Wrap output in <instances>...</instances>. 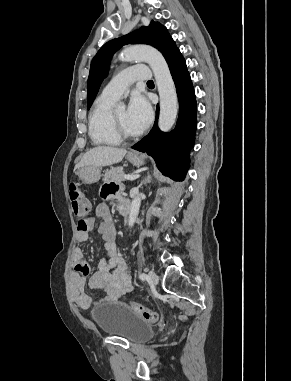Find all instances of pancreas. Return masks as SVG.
<instances>
[{
	"label": "pancreas",
	"mask_w": 291,
	"mask_h": 381,
	"mask_svg": "<svg viewBox=\"0 0 291 381\" xmlns=\"http://www.w3.org/2000/svg\"><path fill=\"white\" fill-rule=\"evenodd\" d=\"M123 175H124V172L122 167L112 168L111 170H108L105 173L103 181L104 182H110V181L121 182L124 180Z\"/></svg>",
	"instance_id": "obj_1"
}]
</instances>
